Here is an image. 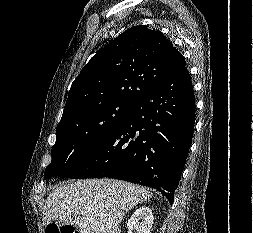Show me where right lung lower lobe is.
<instances>
[{"label":"right lung lower lobe","instance_id":"right-lung-lower-lobe-1","mask_svg":"<svg viewBox=\"0 0 253 233\" xmlns=\"http://www.w3.org/2000/svg\"><path fill=\"white\" fill-rule=\"evenodd\" d=\"M194 123L195 96L184 66L149 87L99 147L58 176L107 177L154 187L172 205Z\"/></svg>","mask_w":253,"mask_h":233}]
</instances>
